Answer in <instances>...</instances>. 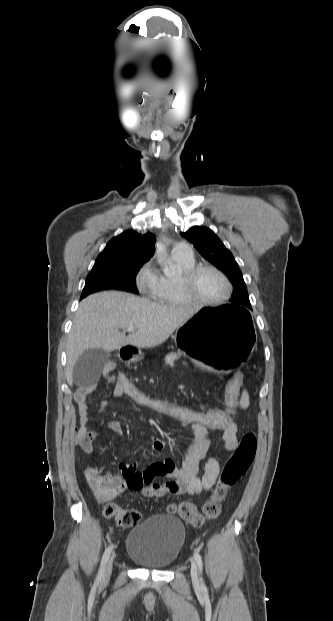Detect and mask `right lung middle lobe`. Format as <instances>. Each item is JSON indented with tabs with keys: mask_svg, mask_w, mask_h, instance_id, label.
Returning <instances> with one entry per match:
<instances>
[{
	"mask_svg": "<svg viewBox=\"0 0 333 621\" xmlns=\"http://www.w3.org/2000/svg\"><path fill=\"white\" fill-rule=\"evenodd\" d=\"M143 264L131 261L95 262L86 279L81 299L103 289H121L138 294L134 277Z\"/></svg>",
	"mask_w": 333,
	"mask_h": 621,
	"instance_id": "1",
	"label": "right lung middle lobe"
}]
</instances>
